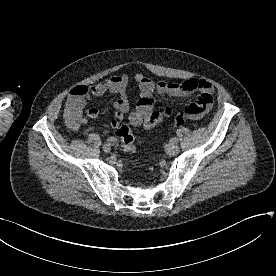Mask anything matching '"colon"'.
I'll return each mask as SVG.
<instances>
[{
    "label": "colon",
    "mask_w": 276,
    "mask_h": 276,
    "mask_svg": "<svg viewBox=\"0 0 276 276\" xmlns=\"http://www.w3.org/2000/svg\"><path fill=\"white\" fill-rule=\"evenodd\" d=\"M199 112V109H196L193 106L186 107L183 111L179 112L174 117V123L176 126H180L184 123L185 119L189 115ZM157 115L153 112L149 113L145 118V123L147 126L152 127L156 124ZM75 122V118H71ZM116 136L120 142L121 148L124 152L128 154H133L135 152L134 145V136L132 129L127 124H120L116 131Z\"/></svg>",
    "instance_id": "obj_1"
}]
</instances>
